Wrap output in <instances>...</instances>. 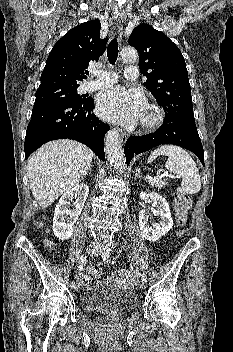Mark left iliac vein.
<instances>
[{"instance_id": "left-iliac-vein-1", "label": "left iliac vein", "mask_w": 233, "mask_h": 352, "mask_svg": "<svg viewBox=\"0 0 233 352\" xmlns=\"http://www.w3.org/2000/svg\"><path fill=\"white\" fill-rule=\"evenodd\" d=\"M101 253H102V248H101V247H97V250H96V252L94 253V255L99 256V255H101ZM140 288H141V289H145V288H146V282L142 281V282L140 283Z\"/></svg>"}]
</instances>
